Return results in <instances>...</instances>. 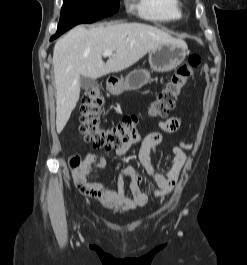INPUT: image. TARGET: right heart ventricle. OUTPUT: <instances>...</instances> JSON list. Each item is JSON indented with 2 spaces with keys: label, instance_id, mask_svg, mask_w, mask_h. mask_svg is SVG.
Listing matches in <instances>:
<instances>
[{
  "label": "right heart ventricle",
  "instance_id": "right-heart-ventricle-1",
  "mask_svg": "<svg viewBox=\"0 0 247 265\" xmlns=\"http://www.w3.org/2000/svg\"><path fill=\"white\" fill-rule=\"evenodd\" d=\"M140 15L156 22L177 21L183 17L181 0H135Z\"/></svg>",
  "mask_w": 247,
  "mask_h": 265
}]
</instances>
